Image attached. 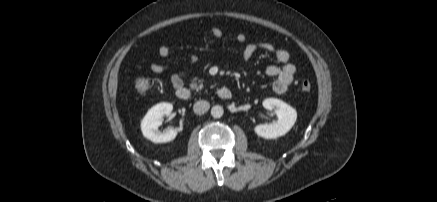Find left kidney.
I'll list each match as a JSON object with an SVG mask.
<instances>
[{
	"instance_id": "1",
	"label": "left kidney",
	"mask_w": 437,
	"mask_h": 202,
	"mask_svg": "<svg viewBox=\"0 0 437 202\" xmlns=\"http://www.w3.org/2000/svg\"><path fill=\"white\" fill-rule=\"evenodd\" d=\"M262 104L264 108L275 113L277 121L255 126V133L265 139H275L285 135L296 122V110L285 102L275 98L265 99Z\"/></svg>"
}]
</instances>
